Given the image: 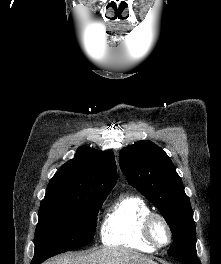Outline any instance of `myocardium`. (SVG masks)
Returning a JSON list of instances; mask_svg holds the SVG:
<instances>
[{"label": "myocardium", "instance_id": "1", "mask_svg": "<svg viewBox=\"0 0 221 264\" xmlns=\"http://www.w3.org/2000/svg\"><path fill=\"white\" fill-rule=\"evenodd\" d=\"M156 222H160L167 231V241L165 243H160L157 241L154 235V225ZM142 233L145 240L155 249H161L167 247L173 238V233L170 224L166 220V218L157 212H149L146 217L144 218L143 225H142Z\"/></svg>", "mask_w": 221, "mask_h": 264}]
</instances>
